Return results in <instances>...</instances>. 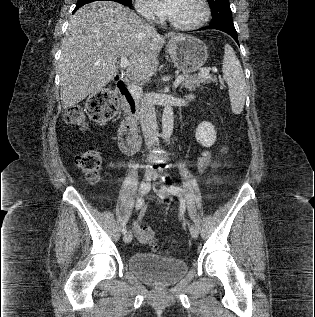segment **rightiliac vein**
<instances>
[{"label": "right iliac vein", "mask_w": 315, "mask_h": 317, "mask_svg": "<svg viewBox=\"0 0 315 317\" xmlns=\"http://www.w3.org/2000/svg\"><path fill=\"white\" fill-rule=\"evenodd\" d=\"M150 188H151V179H150V176L147 175L143 179V181L141 182V185H140L141 193L147 194L149 192ZM132 238H133V235H132L131 231H129L124 235L123 239H124L125 243H130L132 241Z\"/></svg>", "instance_id": "obj_1"}]
</instances>
